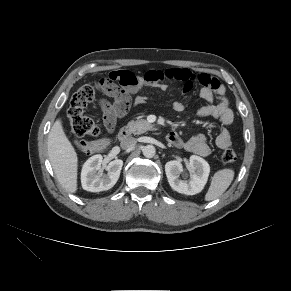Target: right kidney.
<instances>
[{"label":"right kidney","mask_w":291,"mask_h":291,"mask_svg":"<svg viewBox=\"0 0 291 291\" xmlns=\"http://www.w3.org/2000/svg\"><path fill=\"white\" fill-rule=\"evenodd\" d=\"M102 159V155L98 154L90 157L84 163L81 171V183L84 190L90 192L109 190L118 181L123 161L120 159L111 161L106 166L108 173L100 175Z\"/></svg>","instance_id":"1"}]
</instances>
